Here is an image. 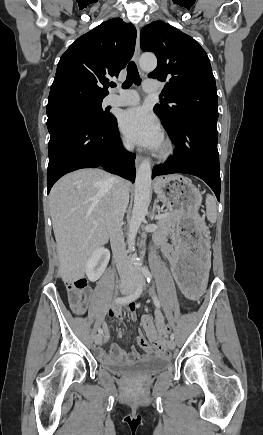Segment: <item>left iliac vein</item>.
<instances>
[{
	"label": "left iliac vein",
	"mask_w": 263,
	"mask_h": 435,
	"mask_svg": "<svg viewBox=\"0 0 263 435\" xmlns=\"http://www.w3.org/2000/svg\"><path fill=\"white\" fill-rule=\"evenodd\" d=\"M138 283H139V286H141V287L145 286V281H144V278H143V276L141 274H138ZM175 345L176 344H175L174 340H169L168 341V348L170 350H173L175 348Z\"/></svg>",
	"instance_id": "obj_1"
}]
</instances>
